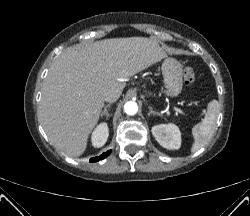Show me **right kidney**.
Masks as SVG:
<instances>
[{"label": "right kidney", "instance_id": "1", "mask_svg": "<svg viewBox=\"0 0 250 216\" xmlns=\"http://www.w3.org/2000/svg\"><path fill=\"white\" fill-rule=\"evenodd\" d=\"M109 136V129L106 123L99 124L92 133L91 141L95 148L102 147Z\"/></svg>", "mask_w": 250, "mask_h": 216}]
</instances>
